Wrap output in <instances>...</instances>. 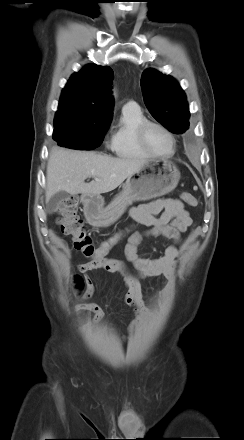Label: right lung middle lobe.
Listing matches in <instances>:
<instances>
[{"mask_svg":"<svg viewBox=\"0 0 244 440\" xmlns=\"http://www.w3.org/2000/svg\"><path fill=\"white\" fill-rule=\"evenodd\" d=\"M53 139L60 146L71 149L91 150L98 147L108 130L109 123L79 120L54 122Z\"/></svg>","mask_w":244,"mask_h":440,"instance_id":"right-lung-middle-lobe-1","label":"right lung middle lobe"}]
</instances>
